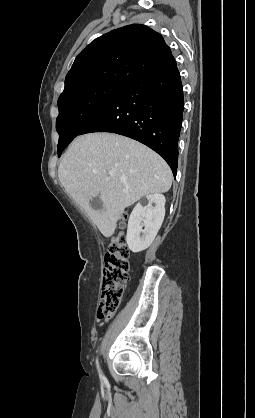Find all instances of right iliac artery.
Segmentation results:
<instances>
[{
    "label": "right iliac artery",
    "mask_w": 255,
    "mask_h": 418,
    "mask_svg": "<svg viewBox=\"0 0 255 418\" xmlns=\"http://www.w3.org/2000/svg\"><path fill=\"white\" fill-rule=\"evenodd\" d=\"M96 364H97V368H98V370H99V376H100V378L103 380V379H104V376L102 375V373H101V371H100V369H99L98 360H96Z\"/></svg>",
    "instance_id": "right-iliac-artery-1"
}]
</instances>
